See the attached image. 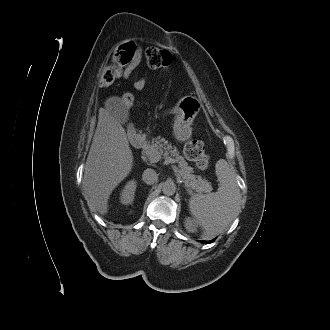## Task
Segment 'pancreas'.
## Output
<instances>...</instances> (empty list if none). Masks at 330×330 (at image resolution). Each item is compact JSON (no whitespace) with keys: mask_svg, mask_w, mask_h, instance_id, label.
Returning a JSON list of instances; mask_svg holds the SVG:
<instances>
[{"mask_svg":"<svg viewBox=\"0 0 330 330\" xmlns=\"http://www.w3.org/2000/svg\"><path fill=\"white\" fill-rule=\"evenodd\" d=\"M142 154L150 161L152 155L169 159L170 156L178 163L179 177H181L187 188L193 189L196 192H210L212 186L208 180L199 175H194L193 168L188 166L185 159L179 154L177 149L172 146L165 138L157 137L151 143H146L143 146Z\"/></svg>","mask_w":330,"mask_h":330,"instance_id":"pancreas-1","label":"pancreas"}]
</instances>
